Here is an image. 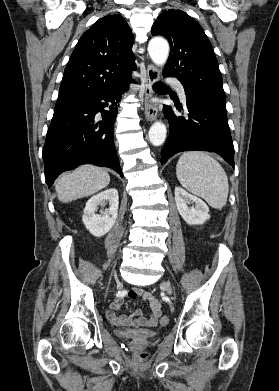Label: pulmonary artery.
<instances>
[{"mask_svg":"<svg viewBox=\"0 0 279 391\" xmlns=\"http://www.w3.org/2000/svg\"><path fill=\"white\" fill-rule=\"evenodd\" d=\"M167 81L176 87L182 101L186 102L185 91H184L183 85L178 80L173 79V78H168Z\"/></svg>","mask_w":279,"mask_h":391,"instance_id":"pulmonary-artery-1","label":"pulmonary artery"}]
</instances>
